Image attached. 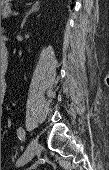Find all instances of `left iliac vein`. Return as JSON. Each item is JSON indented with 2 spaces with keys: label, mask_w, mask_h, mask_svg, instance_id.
Returning a JSON list of instances; mask_svg holds the SVG:
<instances>
[{
  "label": "left iliac vein",
  "mask_w": 109,
  "mask_h": 170,
  "mask_svg": "<svg viewBox=\"0 0 109 170\" xmlns=\"http://www.w3.org/2000/svg\"><path fill=\"white\" fill-rule=\"evenodd\" d=\"M38 150V142L36 139L31 138L30 142L28 144V147L25 151V153L21 156V158L16 162L17 166H23L29 161L32 160V158L35 156Z\"/></svg>",
  "instance_id": "4c4485c4"
}]
</instances>
